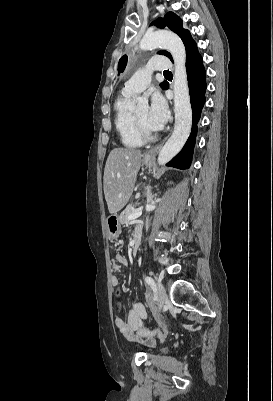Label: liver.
Masks as SVG:
<instances>
[{
	"mask_svg": "<svg viewBox=\"0 0 273 401\" xmlns=\"http://www.w3.org/2000/svg\"><path fill=\"white\" fill-rule=\"evenodd\" d=\"M141 150L113 148L105 164L104 194L109 213L117 215L133 192L137 172L141 164Z\"/></svg>",
	"mask_w": 273,
	"mask_h": 401,
	"instance_id": "6515ba94",
	"label": "liver"
}]
</instances>
